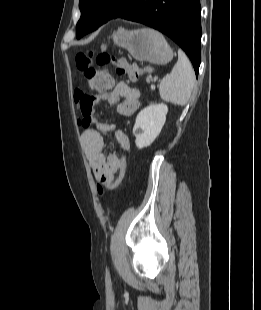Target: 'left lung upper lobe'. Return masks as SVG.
<instances>
[{"mask_svg": "<svg viewBox=\"0 0 261 310\" xmlns=\"http://www.w3.org/2000/svg\"><path fill=\"white\" fill-rule=\"evenodd\" d=\"M133 0H80L81 18L77 23V38L89 32L93 24H104L118 18L130 8Z\"/></svg>", "mask_w": 261, "mask_h": 310, "instance_id": "5c2ea615", "label": "left lung upper lobe"}]
</instances>
